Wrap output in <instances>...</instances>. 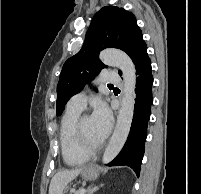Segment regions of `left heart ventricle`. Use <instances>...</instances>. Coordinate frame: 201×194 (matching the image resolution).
<instances>
[{
	"label": "left heart ventricle",
	"mask_w": 201,
	"mask_h": 194,
	"mask_svg": "<svg viewBox=\"0 0 201 194\" xmlns=\"http://www.w3.org/2000/svg\"><path fill=\"white\" fill-rule=\"evenodd\" d=\"M82 129H83L85 139L89 144L96 145L101 142V140L98 138V136L95 133V129H94L91 117H87L83 120Z\"/></svg>",
	"instance_id": "b2bd125f"
}]
</instances>
